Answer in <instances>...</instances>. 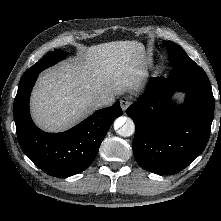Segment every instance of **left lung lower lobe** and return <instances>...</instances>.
Wrapping results in <instances>:
<instances>
[{
  "instance_id": "1",
  "label": "left lung lower lobe",
  "mask_w": 221,
  "mask_h": 221,
  "mask_svg": "<svg viewBox=\"0 0 221 221\" xmlns=\"http://www.w3.org/2000/svg\"><path fill=\"white\" fill-rule=\"evenodd\" d=\"M175 91L186 93L185 103L169 109L165 100ZM157 101L162 102L154 106ZM214 107L202 68H176L168 78H153L139 102L126 110L135 123L132 146L137 163L156 174L183 170L207 145Z\"/></svg>"
}]
</instances>
